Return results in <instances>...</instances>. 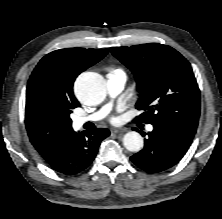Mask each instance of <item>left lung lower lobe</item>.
Returning a JSON list of instances; mask_svg holds the SVG:
<instances>
[{
	"mask_svg": "<svg viewBox=\"0 0 222 219\" xmlns=\"http://www.w3.org/2000/svg\"><path fill=\"white\" fill-rule=\"evenodd\" d=\"M144 148L131 161L150 173L164 171L177 164L187 152L194 134L171 124L153 125Z\"/></svg>",
	"mask_w": 222,
	"mask_h": 219,
	"instance_id": "0a47b994",
	"label": "left lung lower lobe"
}]
</instances>
